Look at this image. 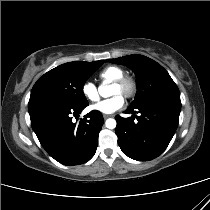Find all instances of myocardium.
I'll use <instances>...</instances> for the list:
<instances>
[{
    "label": "myocardium",
    "instance_id": "myocardium-1",
    "mask_svg": "<svg viewBox=\"0 0 210 210\" xmlns=\"http://www.w3.org/2000/svg\"><path fill=\"white\" fill-rule=\"evenodd\" d=\"M121 90V94L126 98H132L137 92V83L135 79L128 75H123L113 82Z\"/></svg>",
    "mask_w": 210,
    "mask_h": 210
}]
</instances>
